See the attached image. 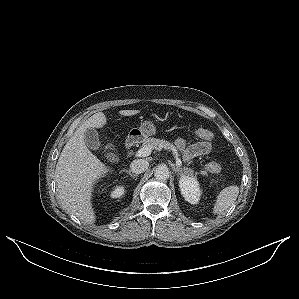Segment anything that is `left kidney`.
I'll use <instances>...</instances> for the list:
<instances>
[{"instance_id":"5707ae66","label":"left kidney","mask_w":299,"mask_h":299,"mask_svg":"<svg viewBox=\"0 0 299 299\" xmlns=\"http://www.w3.org/2000/svg\"><path fill=\"white\" fill-rule=\"evenodd\" d=\"M179 187L181 190V194L185 198V200L191 204H197L201 190L199 186V182L194 177L182 175L179 180Z\"/></svg>"}]
</instances>
